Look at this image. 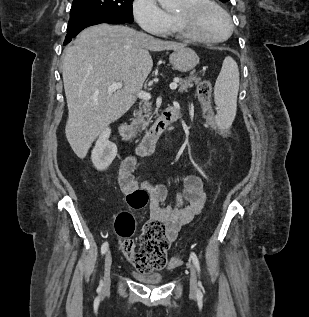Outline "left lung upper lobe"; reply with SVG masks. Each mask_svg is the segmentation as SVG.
<instances>
[{"instance_id": "left-lung-upper-lobe-1", "label": "left lung upper lobe", "mask_w": 309, "mask_h": 317, "mask_svg": "<svg viewBox=\"0 0 309 317\" xmlns=\"http://www.w3.org/2000/svg\"><path fill=\"white\" fill-rule=\"evenodd\" d=\"M220 1H222V2H227V1H229V0H220Z\"/></svg>"}]
</instances>
